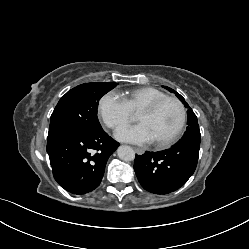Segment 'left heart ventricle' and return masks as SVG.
Returning a JSON list of instances; mask_svg holds the SVG:
<instances>
[{"mask_svg": "<svg viewBox=\"0 0 249 249\" xmlns=\"http://www.w3.org/2000/svg\"><path fill=\"white\" fill-rule=\"evenodd\" d=\"M180 118V108L174 101L164 102L153 113H138L136 116L147 127L153 141L168 138L178 127Z\"/></svg>", "mask_w": 249, "mask_h": 249, "instance_id": "1", "label": "left heart ventricle"}]
</instances>
